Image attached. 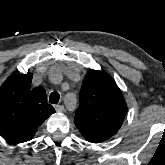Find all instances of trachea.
I'll return each instance as SVG.
<instances>
[{
	"instance_id": "3493384b",
	"label": "trachea",
	"mask_w": 165,
	"mask_h": 165,
	"mask_svg": "<svg viewBox=\"0 0 165 165\" xmlns=\"http://www.w3.org/2000/svg\"><path fill=\"white\" fill-rule=\"evenodd\" d=\"M60 95L58 92H52L49 96V102L51 104H57L59 102Z\"/></svg>"
}]
</instances>
